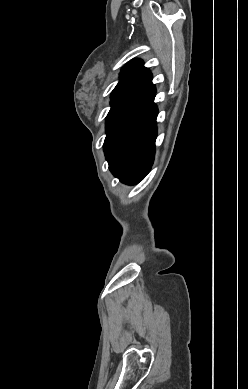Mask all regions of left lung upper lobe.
<instances>
[{"label": "left lung upper lobe", "mask_w": 248, "mask_h": 389, "mask_svg": "<svg viewBox=\"0 0 248 389\" xmlns=\"http://www.w3.org/2000/svg\"><path fill=\"white\" fill-rule=\"evenodd\" d=\"M147 70L140 59H134L126 64L121 70V79L112 91L111 100Z\"/></svg>", "instance_id": "5c2ea615"}]
</instances>
